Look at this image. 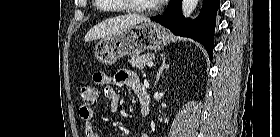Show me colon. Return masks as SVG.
I'll list each match as a JSON object with an SVG mask.
<instances>
[{"label":"colon","instance_id":"colon-1","mask_svg":"<svg viewBox=\"0 0 280 137\" xmlns=\"http://www.w3.org/2000/svg\"><path fill=\"white\" fill-rule=\"evenodd\" d=\"M81 100L87 105H93L98 99V90L92 86H82L79 89Z\"/></svg>","mask_w":280,"mask_h":137}]
</instances>
